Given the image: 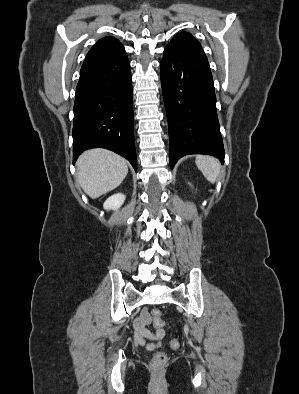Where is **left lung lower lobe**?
Here are the masks:
<instances>
[{"mask_svg":"<svg viewBox=\"0 0 299 394\" xmlns=\"http://www.w3.org/2000/svg\"><path fill=\"white\" fill-rule=\"evenodd\" d=\"M161 83L169 124L170 166L189 154L224 162L213 78L204 53L164 50Z\"/></svg>","mask_w":299,"mask_h":394,"instance_id":"0a47b994","label":"left lung lower lobe"}]
</instances>
